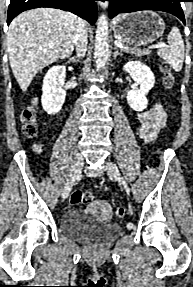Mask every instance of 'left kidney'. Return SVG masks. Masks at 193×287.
<instances>
[{
    "instance_id": "obj_1",
    "label": "left kidney",
    "mask_w": 193,
    "mask_h": 287,
    "mask_svg": "<svg viewBox=\"0 0 193 287\" xmlns=\"http://www.w3.org/2000/svg\"><path fill=\"white\" fill-rule=\"evenodd\" d=\"M132 79L140 85L139 90L127 94V102L134 111H143L148 106L146 95L154 87L155 77L151 69L140 61H129L123 66Z\"/></svg>"
}]
</instances>
